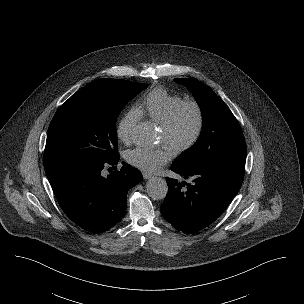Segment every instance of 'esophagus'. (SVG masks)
<instances>
[{
	"label": "esophagus",
	"mask_w": 304,
	"mask_h": 304,
	"mask_svg": "<svg viewBox=\"0 0 304 304\" xmlns=\"http://www.w3.org/2000/svg\"><path fill=\"white\" fill-rule=\"evenodd\" d=\"M142 176H143L144 179H150V178L153 177L151 174H149V173H147V172H143V173H142Z\"/></svg>",
	"instance_id": "34e87169"
}]
</instances>
